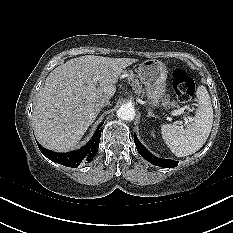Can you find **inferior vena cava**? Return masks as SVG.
<instances>
[{
	"label": "inferior vena cava",
	"mask_w": 233,
	"mask_h": 233,
	"mask_svg": "<svg viewBox=\"0 0 233 233\" xmlns=\"http://www.w3.org/2000/svg\"><path fill=\"white\" fill-rule=\"evenodd\" d=\"M109 103H110L109 98L104 97V98H102V99H100V100L98 101L97 106H98L99 108H102V107H104V106L109 105Z\"/></svg>",
	"instance_id": "obj_1"
}]
</instances>
